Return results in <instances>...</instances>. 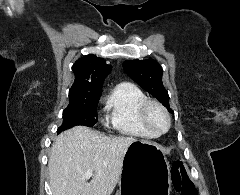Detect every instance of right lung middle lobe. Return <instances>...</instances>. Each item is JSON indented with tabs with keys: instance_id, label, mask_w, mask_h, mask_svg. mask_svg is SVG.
Instances as JSON below:
<instances>
[{
	"instance_id": "obj_1",
	"label": "right lung middle lobe",
	"mask_w": 240,
	"mask_h": 195,
	"mask_svg": "<svg viewBox=\"0 0 240 195\" xmlns=\"http://www.w3.org/2000/svg\"><path fill=\"white\" fill-rule=\"evenodd\" d=\"M100 97L69 99V105L63 111V124L58 132L76 125L92 127L98 121L97 105Z\"/></svg>"
}]
</instances>
